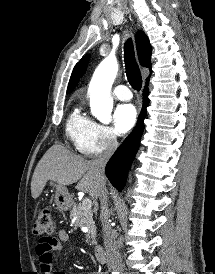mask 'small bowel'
<instances>
[{"label": "small bowel", "instance_id": "small-bowel-1", "mask_svg": "<svg viewBox=\"0 0 215 274\" xmlns=\"http://www.w3.org/2000/svg\"><path fill=\"white\" fill-rule=\"evenodd\" d=\"M69 242L68 233L60 229L57 237L40 238L36 244L35 252L39 260L41 272L44 274H74L64 272L52 273V263L55 260V253L62 249V244ZM86 274H100L98 272H87Z\"/></svg>", "mask_w": 215, "mask_h": 274}]
</instances>
